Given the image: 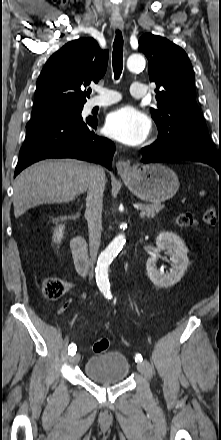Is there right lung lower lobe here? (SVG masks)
<instances>
[{
    "label": "right lung lower lobe",
    "instance_id": "right-lung-lower-lobe-1",
    "mask_svg": "<svg viewBox=\"0 0 221 440\" xmlns=\"http://www.w3.org/2000/svg\"><path fill=\"white\" fill-rule=\"evenodd\" d=\"M97 118L46 115L31 118L19 153L14 177L27 166L46 158H77L111 169L114 143L95 134Z\"/></svg>",
    "mask_w": 221,
    "mask_h": 440
}]
</instances>
